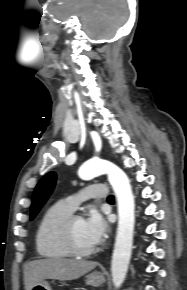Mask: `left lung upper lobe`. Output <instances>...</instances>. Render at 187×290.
I'll list each match as a JSON object with an SVG mask.
<instances>
[{
    "instance_id": "left-lung-upper-lobe-1",
    "label": "left lung upper lobe",
    "mask_w": 187,
    "mask_h": 290,
    "mask_svg": "<svg viewBox=\"0 0 187 290\" xmlns=\"http://www.w3.org/2000/svg\"><path fill=\"white\" fill-rule=\"evenodd\" d=\"M56 182V174L54 172L47 173L35 188L32 205H31V215L32 220L36 214L39 212L43 204L46 202L50 194L52 193Z\"/></svg>"
}]
</instances>
